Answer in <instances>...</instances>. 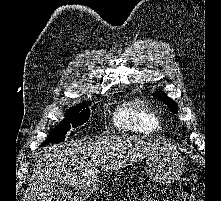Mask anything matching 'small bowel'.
<instances>
[{
    "instance_id": "1",
    "label": "small bowel",
    "mask_w": 221,
    "mask_h": 201,
    "mask_svg": "<svg viewBox=\"0 0 221 201\" xmlns=\"http://www.w3.org/2000/svg\"><path fill=\"white\" fill-rule=\"evenodd\" d=\"M140 201H156V200H154V199H149V198H145V199H142V200H140Z\"/></svg>"
}]
</instances>
